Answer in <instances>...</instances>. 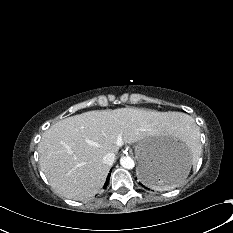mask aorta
<instances>
[{"instance_id": "aorta-1", "label": "aorta", "mask_w": 233, "mask_h": 233, "mask_svg": "<svg viewBox=\"0 0 233 233\" xmlns=\"http://www.w3.org/2000/svg\"><path fill=\"white\" fill-rule=\"evenodd\" d=\"M120 164L125 169H132L135 166L134 160L129 156L121 157Z\"/></svg>"}]
</instances>
